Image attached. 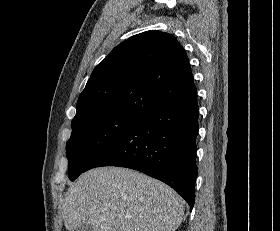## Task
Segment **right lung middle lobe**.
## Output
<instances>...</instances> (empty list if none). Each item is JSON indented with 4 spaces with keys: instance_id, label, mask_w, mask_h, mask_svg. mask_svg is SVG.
<instances>
[{
    "instance_id": "dd1d6c3e",
    "label": "right lung middle lobe",
    "mask_w": 280,
    "mask_h": 231,
    "mask_svg": "<svg viewBox=\"0 0 280 231\" xmlns=\"http://www.w3.org/2000/svg\"><path fill=\"white\" fill-rule=\"evenodd\" d=\"M141 119L126 116L72 120L66 144L68 176L74 181L85 168Z\"/></svg>"
}]
</instances>
